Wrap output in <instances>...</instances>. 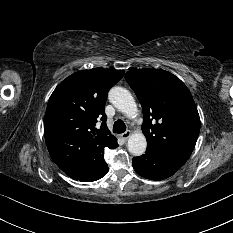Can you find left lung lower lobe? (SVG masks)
<instances>
[{
  "instance_id": "0a47b994",
  "label": "left lung lower lobe",
  "mask_w": 233,
  "mask_h": 233,
  "mask_svg": "<svg viewBox=\"0 0 233 233\" xmlns=\"http://www.w3.org/2000/svg\"><path fill=\"white\" fill-rule=\"evenodd\" d=\"M186 161L185 157L147 148L145 154L133 158L132 166L142 177L163 180L172 176Z\"/></svg>"
}]
</instances>
